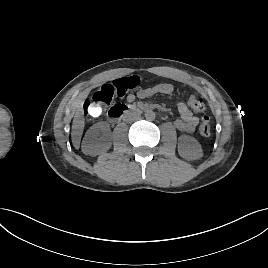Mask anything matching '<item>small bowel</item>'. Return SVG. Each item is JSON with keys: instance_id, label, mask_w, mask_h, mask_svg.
Returning a JSON list of instances; mask_svg holds the SVG:
<instances>
[{"instance_id": "c3829d8e", "label": "small bowel", "mask_w": 268, "mask_h": 268, "mask_svg": "<svg viewBox=\"0 0 268 268\" xmlns=\"http://www.w3.org/2000/svg\"><path fill=\"white\" fill-rule=\"evenodd\" d=\"M175 90L174 85L169 83H160L152 87L138 90L136 93H131L127 96L128 102H133L136 99H146L155 95H169ZM180 118L174 121V126L177 130L184 133H191L195 130L199 123V119L190 110L188 105L180 101L176 105Z\"/></svg>"}]
</instances>
